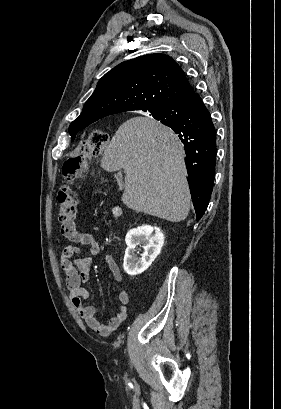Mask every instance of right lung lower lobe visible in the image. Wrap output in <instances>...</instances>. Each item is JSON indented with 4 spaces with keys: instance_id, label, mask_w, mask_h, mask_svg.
<instances>
[{
    "instance_id": "98d812e1",
    "label": "right lung lower lobe",
    "mask_w": 281,
    "mask_h": 409,
    "mask_svg": "<svg viewBox=\"0 0 281 409\" xmlns=\"http://www.w3.org/2000/svg\"><path fill=\"white\" fill-rule=\"evenodd\" d=\"M150 113L154 118H173L167 126L184 144L191 198L199 220L210 200L215 171L216 130L210 113L197 93Z\"/></svg>"
}]
</instances>
